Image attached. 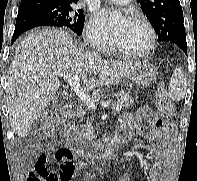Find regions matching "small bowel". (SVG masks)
<instances>
[{
    "label": "small bowel",
    "instance_id": "small-bowel-1",
    "mask_svg": "<svg viewBox=\"0 0 197 181\" xmlns=\"http://www.w3.org/2000/svg\"><path fill=\"white\" fill-rule=\"evenodd\" d=\"M120 134L127 139L141 137L146 144L147 154L154 153L159 157L150 170L149 181H169L170 165L174 158L175 135V128L171 122L158 119L151 109L143 107L134 115L125 118V126L120 130ZM131 179L132 170L128 169L121 181H131Z\"/></svg>",
    "mask_w": 197,
    "mask_h": 181
}]
</instances>
